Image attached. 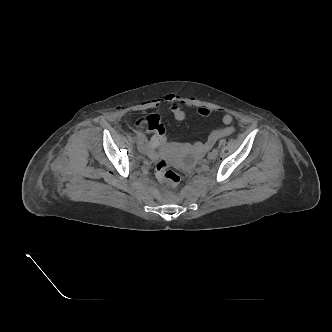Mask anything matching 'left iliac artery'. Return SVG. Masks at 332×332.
<instances>
[{
  "instance_id": "1",
  "label": "left iliac artery",
  "mask_w": 332,
  "mask_h": 332,
  "mask_svg": "<svg viewBox=\"0 0 332 332\" xmlns=\"http://www.w3.org/2000/svg\"><path fill=\"white\" fill-rule=\"evenodd\" d=\"M216 155L218 154V149L214 148L213 151Z\"/></svg>"
}]
</instances>
